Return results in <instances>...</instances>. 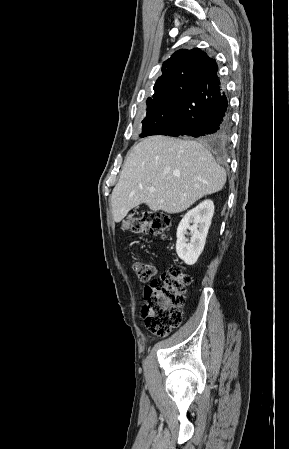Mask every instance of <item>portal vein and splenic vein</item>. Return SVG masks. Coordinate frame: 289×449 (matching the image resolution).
Returning a JSON list of instances; mask_svg holds the SVG:
<instances>
[{"label":"portal vein and splenic vein","instance_id":"portal-vein-and-splenic-vein-1","mask_svg":"<svg viewBox=\"0 0 289 449\" xmlns=\"http://www.w3.org/2000/svg\"><path fill=\"white\" fill-rule=\"evenodd\" d=\"M150 191H151V192H154V191H155V188H154V187H150Z\"/></svg>","mask_w":289,"mask_h":449}]
</instances>
